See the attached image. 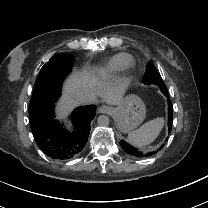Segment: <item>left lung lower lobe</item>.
Wrapping results in <instances>:
<instances>
[{"label":"left lung lower lobe","instance_id":"obj_1","mask_svg":"<svg viewBox=\"0 0 208 208\" xmlns=\"http://www.w3.org/2000/svg\"><path fill=\"white\" fill-rule=\"evenodd\" d=\"M164 95L167 97V101H168V128H169V132H170L171 128H172L173 106H172L171 101L169 100L168 92L165 93ZM120 145H121V147L124 149V151L126 153H128L129 155L134 156V157H140V158H142V157H150V156H152V155L157 153V150L149 151V152H142V151L138 150L137 148L129 145L124 140L120 141ZM163 146H164V144L161 145L158 150L162 149Z\"/></svg>","mask_w":208,"mask_h":208}]
</instances>
